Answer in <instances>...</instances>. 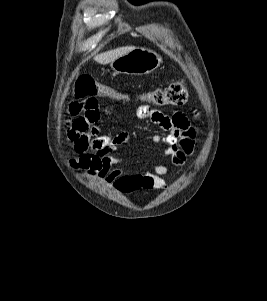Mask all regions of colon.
Instances as JSON below:
<instances>
[{"label": "colon", "mask_w": 267, "mask_h": 301, "mask_svg": "<svg viewBox=\"0 0 267 301\" xmlns=\"http://www.w3.org/2000/svg\"><path fill=\"white\" fill-rule=\"evenodd\" d=\"M74 97L97 98L117 97V94L107 85L98 82L88 75L80 76L74 85ZM188 89L181 81L158 87L143 95V99L153 106H178L187 101Z\"/></svg>", "instance_id": "obj_1"}]
</instances>
